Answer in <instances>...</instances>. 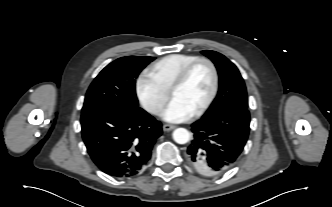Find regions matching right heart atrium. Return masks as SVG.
<instances>
[{
  "mask_svg": "<svg viewBox=\"0 0 332 207\" xmlns=\"http://www.w3.org/2000/svg\"><path fill=\"white\" fill-rule=\"evenodd\" d=\"M136 92L143 108L152 115L163 110L169 94L159 86L148 74H142L136 81Z\"/></svg>",
  "mask_w": 332,
  "mask_h": 207,
  "instance_id": "right-heart-atrium-1",
  "label": "right heart atrium"
}]
</instances>
